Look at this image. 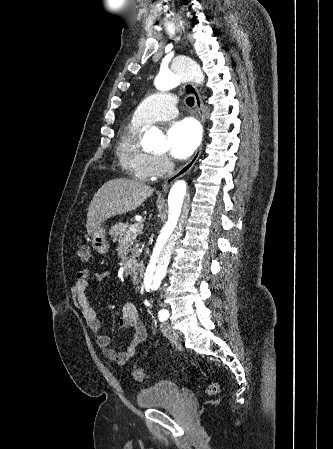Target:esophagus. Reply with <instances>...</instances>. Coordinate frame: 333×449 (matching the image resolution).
<instances>
[{"label":"esophagus","instance_id":"34e87169","mask_svg":"<svg viewBox=\"0 0 333 449\" xmlns=\"http://www.w3.org/2000/svg\"><path fill=\"white\" fill-rule=\"evenodd\" d=\"M184 90L187 94H190L193 96L195 101V107L197 110V113L199 115V118L203 124H205V113L203 108V101L201 98V95L196 88V86L193 83H186L184 86ZM202 152V146L198 148V150L195 152L193 157L173 176L169 177L163 185V189H167L170 185H172L176 180L186 175L194 166L197 159L199 158L200 154Z\"/></svg>","mask_w":333,"mask_h":449}]
</instances>
